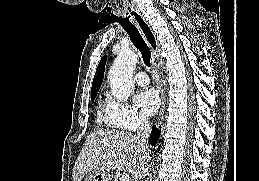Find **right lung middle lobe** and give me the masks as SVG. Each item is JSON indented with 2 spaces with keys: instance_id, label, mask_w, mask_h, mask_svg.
Masks as SVG:
<instances>
[{
  "instance_id": "obj_1",
  "label": "right lung middle lobe",
  "mask_w": 259,
  "mask_h": 181,
  "mask_svg": "<svg viewBox=\"0 0 259 181\" xmlns=\"http://www.w3.org/2000/svg\"><path fill=\"white\" fill-rule=\"evenodd\" d=\"M94 99H95V96H94V97H91V100H92V101H94Z\"/></svg>"
}]
</instances>
